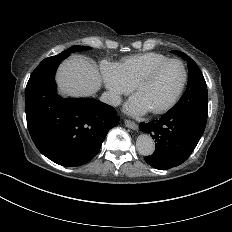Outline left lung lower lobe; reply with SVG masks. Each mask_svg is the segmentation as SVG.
Segmentation results:
<instances>
[{"mask_svg":"<svg viewBox=\"0 0 232 232\" xmlns=\"http://www.w3.org/2000/svg\"><path fill=\"white\" fill-rule=\"evenodd\" d=\"M206 123L185 113L167 112L160 119L142 122L141 131L156 142L154 153L145 161L159 170H167L185 162L199 142Z\"/></svg>","mask_w":232,"mask_h":232,"instance_id":"obj_1","label":"left lung lower lobe"}]
</instances>
